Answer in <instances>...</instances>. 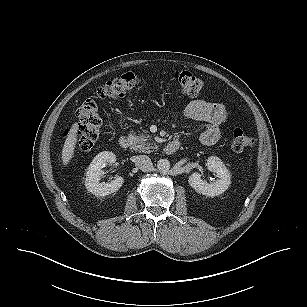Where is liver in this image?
<instances>
[{"label": "liver", "mask_w": 307, "mask_h": 307, "mask_svg": "<svg viewBox=\"0 0 307 307\" xmlns=\"http://www.w3.org/2000/svg\"><path fill=\"white\" fill-rule=\"evenodd\" d=\"M77 130L78 123H74L70 128L63 149H62V162L63 165H67L74 155L75 145L77 143Z\"/></svg>", "instance_id": "obj_1"}]
</instances>
